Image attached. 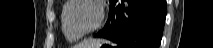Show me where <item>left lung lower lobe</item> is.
I'll return each mask as SVG.
<instances>
[{
    "mask_svg": "<svg viewBox=\"0 0 213 48\" xmlns=\"http://www.w3.org/2000/svg\"><path fill=\"white\" fill-rule=\"evenodd\" d=\"M165 16V0H110L106 25L95 36L122 48H159Z\"/></svg>",
    "mask_w": 213,
    "mask_h": 48,
    "instance_id": "left-lung-lower-lobe-1",
    "label": "left lung lower lobe"
}]
</instances>
